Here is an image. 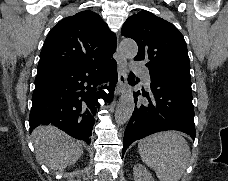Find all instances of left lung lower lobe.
<instances>
[{
    "label": "left lung lower lobe",
    "mask_w": 228,
    "mask_h": 181,
    "mask_svg": "<svg viewBox=\"0 0 228 181\" xmlns=\"http://www.w3.org/2000/svg\"><path fill=\"white\" fill-rule=\"evenodd\" d=\"M148 69L150 87L134 94L135 108L124 133L123 155L132 142L156 132L178 130L193 140L196 135L191 80L161 68ZM129 82L135 85L139 79L134 80L131 73Z\"/></svg>",
    "instance_id": "left-lung-lower-lobe-1"
}]
</instances>
